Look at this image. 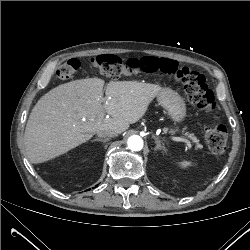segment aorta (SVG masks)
<instances>
[{
  "label": "aorta",
  "mask_w": 250,
  "mask_h": 250,
  "mask_svg": "<svg viewBox=\"0 0 250 250\" xmlns=\"http://www.w3.org/2000/svg\"><path fill=\"white\" fill-rule=\"evenodd\" d=\"M128 148L132 151H140L143 148V140L137 135L128 138Z\"/></svg>",
  "instance_id": "1"
}]
</instances>
